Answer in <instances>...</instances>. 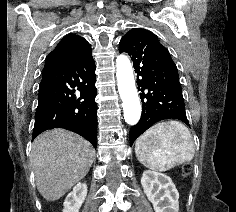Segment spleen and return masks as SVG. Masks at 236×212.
<instances>
[{
  "instance_id": "obj_1",
  "label": "spleen",
  "mask_w": 236,
  "mask_h": 212,
  "mask_svg": "<svg viewBox=\"0 0 236 212\" xmlns=\"http://www.w3.org/2000/svg\"><path fill=\"white\" fill-rule=\"evenodd\" d=\"M135 153L145 167L167 171L189 162L195 154V145L189 129L179 121L156 123L135 143Z\"/></svg>"
}]
</instances>
